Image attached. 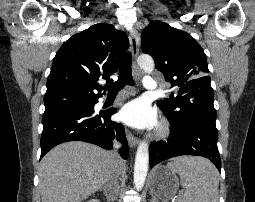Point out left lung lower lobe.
Instances as JSON below:
<instances>
[{"label":"left lung lower lobe","instance_id":"left-lung-lower-lobe-1","mask_svg":"<svg viewBox=\"0 0 255 202\" xmlns=\"http://www.w3.org/2000/svg\"><path fill=\"white\" fill-rule=\"evenodd\" d=\"M217 136L216 127L206 124L194 123L182 128L171 126V134L167 141H154L150 145L149 161L151 168L172 157L197 155L210 159L221 171Z\"/></svg>","mask_w":255,"mask_h":202}]
</instances>
